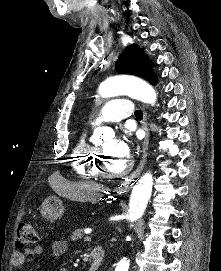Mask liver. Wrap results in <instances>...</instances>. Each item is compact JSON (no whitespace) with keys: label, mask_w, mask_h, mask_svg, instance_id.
Returning a JSON list of instances; mask_svg holds the SVG:
<instances>
[{"label":"liver","mask_w":221,"mask_h":271,"mask_svg":"<svg viewBox=\"0 0 221 271\" xmlns=\"http://www.w3.org/2000/svg\"><path fill=\"white\" fill-rule=\"evenodd\" d=\"M53 185L55 191L61 193L63 197H68L72 201H92V203L98 201L96 199V191H103L105 189L102 183H95V181H77V183H64L65 191L62 193V191H59L55 181H53Z\"/></svg>","instance_id":"6515ba94"}]
</instances>
